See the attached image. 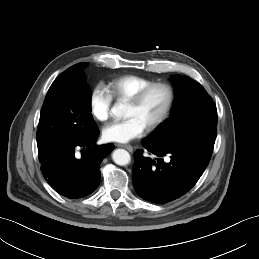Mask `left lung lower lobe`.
I'll use <instances>...</instances> for the list:
<instances>
[{
  "label": "left lung lower lobe",
  "instance_id": "0a47b994",
  "mask_svg": "<svg viewBox=\"0 0 259 259\" xmlns=\"http://www.w3.org/2000/svg\"><path fill=\"white\" fill-rule=\"evenodd\" d=\"M215 140L195 137L175 146L158 145L147 138L142 150L134 153L133 184L144 200L163 204L186 194L199 180L209 164ZM170 156L168 162L163 157Z\"/></svg>",
  "mask_w": 259,
  "mask_h": 259
}]
</instances>
